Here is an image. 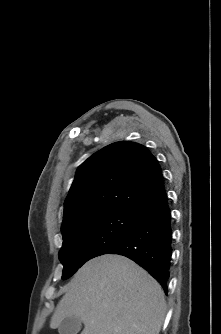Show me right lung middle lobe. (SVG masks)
I'll return each instance as SVG.
<instances>
[{
	"label": "right lung middle lobe",
	"mask_w": 221,
	"mask_h": 334,
	"mask_svg": "<svg viewBox=\"0 0 221 334\" xmlns=\"http://www.w3.org/2000/svg\"><path fill=\"white\" fill-rule=\"evenodd\" d=\"M137 214L113 211L87 218L63 235L59 259L62 279L72 276L86 261L114 248L135 222Z\"/></svg>",
	"instance_id": "obj_1"
}]
</instances>
